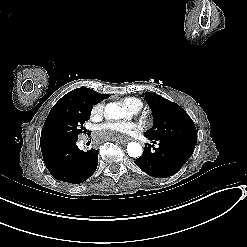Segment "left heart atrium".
I'll use <instances>...</instances> for the list:
<instances>
[{"label":"left heart atrium","instance_id":"obj_1","mask_svg":"<svg viewBox=\"0 0 247 247\" xmlns=\"http://www.w3.org/2000/svg\"><path fill=\"white\" fill-rule=\"evenodd\" d=\"M99 128L102 132L104 143H122L126 140L127 135H131L136 130L137 126L132 122H107Z\"/></svg>","mask_w":247,"mask_h":247}]
</instances>
